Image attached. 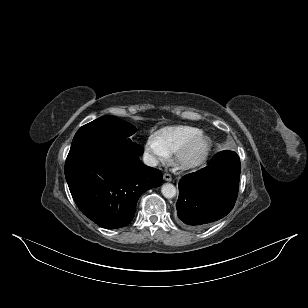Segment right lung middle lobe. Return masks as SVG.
I'll return each instance as SVG.
<instances>
[{
	"label": "right lung middle lobe",
	"mask_w": 308,
	"mask_h": 308,
	"mask_svg": "<svg viewBox=\"0 0 308 308\" xmlns=\"http://www.w3.org/2000/svg\"><path fill=\"white\" fill-rule=\"evenodd\" d=\"M135 132L136 128L133 125L114 116H103L77 131L70 150L89 145H114L129 148L140 154L142 148L129 139Z\"/></svg>",
	"instance_id": "obj_1"
}]
</instances>
